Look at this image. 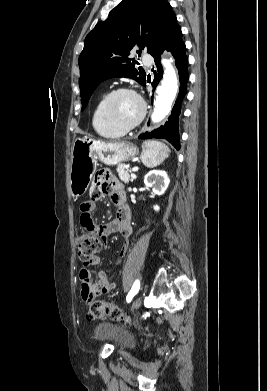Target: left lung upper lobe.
I'll list each match as a JSON object with an SVG mask.
<instances>
[{
  "label": "left lung upper lobe",
  "instance_id": "5c2ea615",
  "mask_svg": "<svg viewBox=\"0 0 267 391\" xmlns=\"http://www.w3.org/2000/svg\"><path fill=\"white\" fill-rule=\"evenodd\" d=\"M177 19L166 0H123L105 21L96 24L86 36L79 57L82 110L100 82L112 77H129L146 83L143 69L129 58L143 50L151 54L161 44Z\"/></svg>",
  "mask_w": 267,
  "mask_h": 391
}]
</instances>
